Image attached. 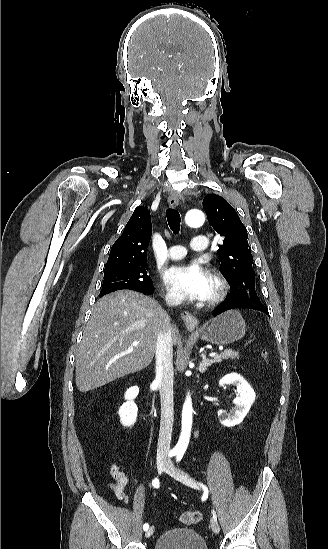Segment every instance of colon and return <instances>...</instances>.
Masks as SVG:
<instances>
[{"instance_id":"1","label":"colon","mask_w":328,"mask_h":549,"mask_svg":"<svg viewBox=\"0 0 328 549\" xmlns=\"http://www.w3.org/2000/svg\"><path fill=\"white\" fill-rule=\"evenodd\" d=\"M261 356L264 360H267L268 354L266 351L263 350L261 351ZM202 519L203 516L198 511H186L181 516L182 523L187 525L199 523Z\"/></svg>"}]
</instances>
